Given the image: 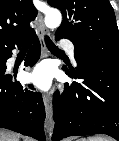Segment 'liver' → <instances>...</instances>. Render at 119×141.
Listing matches in <instances>:
<instances>
[{
  "instance_id": "1",
  "label": "liver",
  "mask_w": 119,
  "mask_h": 141,
  "mask_svg": "<svg viewBox=\"0 0 119 141\" xmlns=\"http://www.w3.org/2000/svg\"><path fill=\"white\" fill-rule=\"evenodd\" d=\"M0 141H18V137L14 133L0 129Z\"/></svg>"
}]
</instances>
